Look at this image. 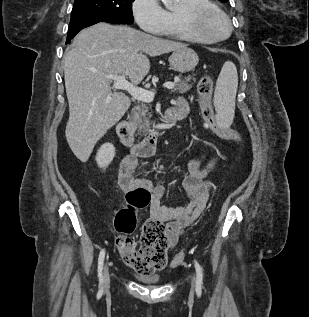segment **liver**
<instances>
[{
  "label": "liver",
  "mask_w": 309,
  "mask_h": 317,
  "mask_svg": "<svg viewBox=\"0 0 309 317\" xmlns=\"http://www.w3.org/2000/svg\"><path fill=\"white\" fill-rule=\"evenodd\" d=\"M128 26L98 23L82 30L64 56L69 103L65 135L74 155L86 162L100 138L129 109L131 101L112 91L106 75H124L136 86L150 70L154 57L186 47Z\"/></svg>",
  "instance_id": "obj_1"
}]
</instances>
